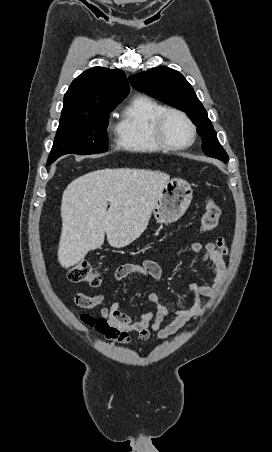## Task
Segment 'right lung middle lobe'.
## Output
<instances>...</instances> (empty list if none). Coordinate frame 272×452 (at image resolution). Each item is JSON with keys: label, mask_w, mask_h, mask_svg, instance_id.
<instances>
[{"label": "right lung middle lobe", "mask_w": 272, "mask_h": 452, "mask_svg": "<svg viewBox=\"0 0 272 452\" xmlns=\"http://www.w3.org/2000/svg\"><path fill=\"white\" fill-rule=\"evenodd\" d=\"M115 106L104 107L87 115L60 118L48 165L69 153L88 155L105 152L108 149V116Z\"/></svg>", "instance_id": "right-lung-middle-lobe-1"}]
</instances>
